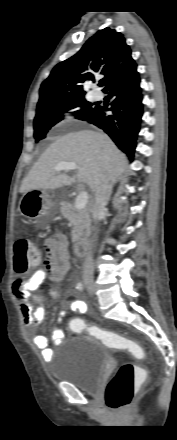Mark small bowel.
Here are the masks:
<instances>
[{
	"instance_id": "1",
	"label": "small bowel",
	"mask_w": 177,
	"mask_h": 440,
	"mask_svg": "<svg viewBox=\"0 0 177 440\" xmlns=\"http://www.w3.org/2000/svg\"><path fill=\"white\" fill-rule=\"evenodd\" d=\"M45 257L43 268L36 270L30 277L24 279L16 278L12 283V294L18 302L26 327H36L45 318V309L43 307V298L36 292L46 279L52 282L49 288V296L57 299L60 291L57 286L69 270V250L68 240L64 234L56 233L45 241ZM32 300V302L30 301ZM71 310L76 314H85L87 305L80 300L70 302ZM65 315L61 312L59 318ZM52 340L55 344H60L64 340V334L59 329L52 332ZM34 346L41 351L44 359L49 360L52 356V349L49 347L48 338L44 335H35L33 337Z\"/></svg>"
}]
</instances>
